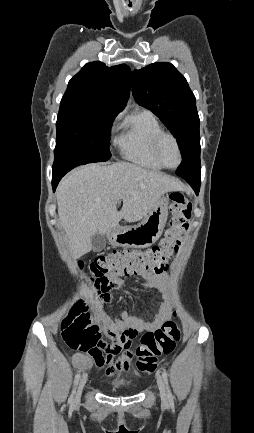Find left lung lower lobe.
<instances>
[{
    "mask_svg": "<svg viewBox=\"0 0 254 433\" xmlns=\"http://www.w3.org/2000/svg\"><path fill=\"white\" fill-rule=\"evenodd\" d=\"M194 189L196 195H198L200 190L201 178H193V177H183Z\"/></svg>",
    "mask_w": 254,
    "mask_h": 433,
    "instance_id": "0a47b994",
    "label": "left lung lower lobe"
}]
</instances>
